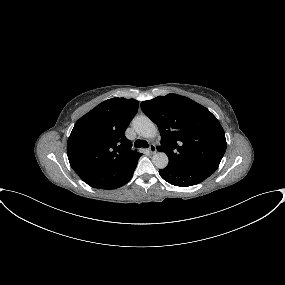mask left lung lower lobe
<instances>
[{"mask_svg": "<svg viewBox=\"0 0 285 285\" xmlns=\"http://www.w3.org/2000/svg\"><path fill=\"white\" fill-rule=\"evenodd\" d=\"M159 174L168 183L181 187L199 184L211 175V173L203 170L173 166H167L166 168L159 170Z\"/></svg>", "mask_w": 285, "mask_h": 285, "instance_id": "obj_1", "label": "left lung lower lobe"}]
</instances>
